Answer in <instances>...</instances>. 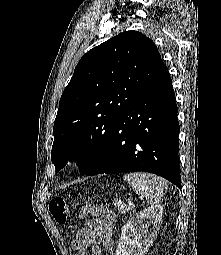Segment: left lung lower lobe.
<instances>
[{
	"label": "left lung lower lobe",
	"instance_id": "left-lung-lower-lobe-1",
	"mask_svg": "<svg viewBox=\"0 0 221 255\" xmlns=\"http://www.w3.org/2000/svg\"><path fill=\"white\" fill-rule=\"evenodd\" d=\"M179 132L172 80L164 66L118 117L101 155L83 175L145 171L181 188Z\"/></svg>",
	"mask_w": 221,
	"mask_h": 255
}]
</instances>
